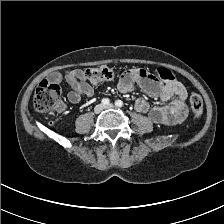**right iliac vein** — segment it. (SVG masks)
Instances as JSON below:
<instances>
[{
  "label": "right iliac vein",
  "mask_w": 224,
  "mask_h": 224,
  "mask_svg": "<svg viewBox=\"0 0 224 224\" xmlns=\"http://www.w3.org/2000/svg\"><path fill=\"white\" fill-rule=\"evenodd\" d=\"M103 109V106L101 104H98L94 108V113L99 114Z\"/></svg>",
  "instance_id": "right-iliac-vein-1"
}]
</instances>
